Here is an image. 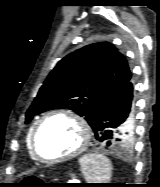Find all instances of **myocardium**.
Returning <instances> with one entry per match:
<instances>
[{
	"label": "myocardium",
	"mask_w": 160,
	"mask_h": 187,
	"mask_svg": "<svg viewBox=\"0 0 160 187\" xmlns=\"http://www.w3.org/2000/svg\"><path fill=\"white\" fill-rule=\"evenodd\" d=\"M59 115L68 116L77 122V124L80 126L81 131H82V140L79 146L68 154L55 157V158H44L41 156L37 148V136H38L39 130L47 119L53 116H59ZM91 134L92 132H91V126L89 122L80 113L73 111V110H67V109L54 110L43 115L35 123L33 130H32V134H31V151L33 155L35 156V158L42 163L54 164V163L62 162V161L74 158L80 155L81 153H83L90 143Z\"/></svg>",
	"instance_id": "myocardium-1"
}]
</instances>
